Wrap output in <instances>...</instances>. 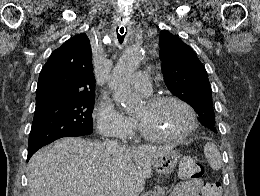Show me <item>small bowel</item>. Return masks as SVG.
Listing matches in <instances>:
<instances>
[{
	"instance_id": "c3829d8e",
	"label": "small bowel",
	"mask_w": 260,
	"mask_h": 196,
	"mask_svg": "<svg viewBox=\"0 0 260 196\" xmlns=\"http://www.w3.org/2000/svg\"><path fill=\"white\" fill-rule=\"evenodd\" d=\"M202 179L184 180L175 185L169 196H208Z\"/></svg>"
}]
</instances>
